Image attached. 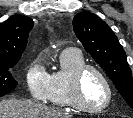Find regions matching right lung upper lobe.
<instances>
[{
    "label": "right lung upper lobe",
    "mask_w": 133,
    "mask_h": 118,
    "mask_svg": "<svg viewBox=\"0 0 133 118\" xmlns=\"http://www.w3.org/2000/svg\"><path fill=\"white\" fill-rule=\"evenodd\" d=\"M33 24L31 18L20 14L0 24V60L20 59Z\"/></svg>",
    "instance_id": "obj_1"
}]
</instances>
